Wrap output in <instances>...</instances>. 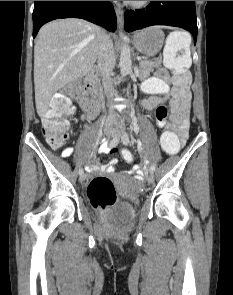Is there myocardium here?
I'll return each mask as SVG.
<instances>
[{"mask_svg":"<svg viewBox=\"0 0 233 295\" xmlns=\"http://www.w3.org/2000/svg\"><path fill=\"white\" fill-rule=\"evenodd\" d=\"M129 5L135 9H142L148 6L151 1H128Z\"/></svg>","mask_w":233,"mask_h":295,"instance_id":"myocardium-1","label":"myocardium"}]
</instances>
